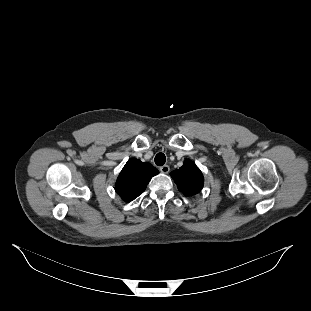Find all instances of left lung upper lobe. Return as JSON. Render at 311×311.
<instances>
[{
  "mask_svg": "<svg viewBox=\"0 0 311 311\" xmlns=\"http://www.w3.org/2000/svg\"><path fill=\"white\" fill-rule=\"evenodd\" d=\"M171 177L178 185V189L186 196L197 194L203 188V175L196 164L190 160L185 161L183 166L171 172Z\"/></svg>",
  "mask_w": 311,
  "mask_h": 311,
  "instance_id": "5c2ea615",
  "label": "left lung upper lobe"
}]
</instances>
